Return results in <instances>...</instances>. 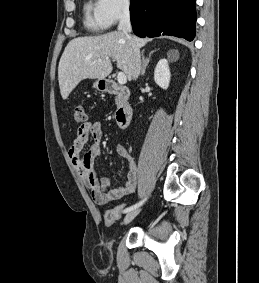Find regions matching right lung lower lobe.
<instances>
[{
	"instance_id": "1",
	"label": "right lung lower lobe",
	"mask_w": 259,
	"mask_h": 283,
	"mask_svg": "<svg viewBox=\"0 0 259 283\" xmlns=\"http://www.w3.org/2000/svg\"><path fill=\"white\" fill-rule=\"evenodd\" d=\"M196 0H131L133 32L139 37H195Z\"/></svg>"
}]
</instances>
